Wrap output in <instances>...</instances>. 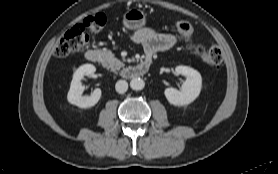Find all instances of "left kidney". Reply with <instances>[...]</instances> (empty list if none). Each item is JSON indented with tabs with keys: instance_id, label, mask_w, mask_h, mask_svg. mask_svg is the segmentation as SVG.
Masks as SVG:
<instances>
[{
	"instance_id": "1",
	"label": "left kidney",
	"mask_w": 278,
	"mask_h": 174,
	"mask_svg": "<svg viewBox=\"0 0 278 174\" xmlns=\"http://www.w3.org/2000/svg\"><path fill=\"white\" fill-rule=\"evenodd\" d=\"M177 75H183L186 80L183 82L181 90L174 88L165 89V96L170 104L183 106L192 103L200 94L202 88V78L200 73L188 66H177Z\"/></svg>"
}]
</instances>
